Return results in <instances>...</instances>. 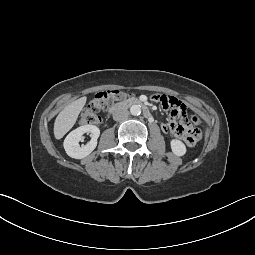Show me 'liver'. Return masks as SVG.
<instances>
[{"instance_id": "6515ba94", "label": "liver", "mask_w": 255, "mask_h": 255, "mask_svg": "<svg viewBox=\"0 0 255 255\" xmlns=\"http://www.w3.org/2000/svg\"><path fill=\"white\" fill-rule=\"evenodd\" d=\"M85 103L86 97H82L67 105L58 114L54 123V136L56 139H61L73 127Z\"/></svg>"}]
</instances>
